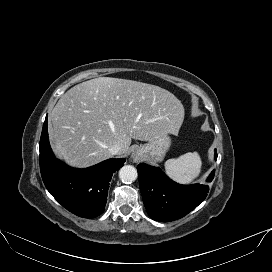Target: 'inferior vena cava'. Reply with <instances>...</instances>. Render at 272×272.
Instances as JSON below:
<instances>
[{
  "mask_svg": "<svg viewBox=\"0 0 272 272\" xmlns=\"http://www.w3.org/2000/svg\"><path fill=\"white\" fill-rule=\"evenodd\" d=\"M120 150H121V147H120V145H118V144H115V145H113V146H111V147L109 148V151H110V153H111L112 155L118 154Z\"/></svg>",
  "mask_w": 272,
  "mask_h": 272,
  "instance_id": "obj_1",
  "label": "inferior vena cava"
}]
</instances>
